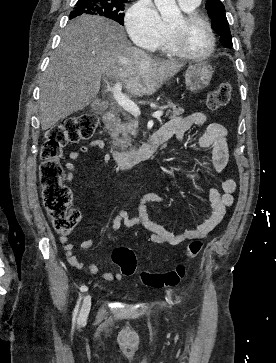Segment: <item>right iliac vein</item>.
<instances>
[{
  "label": "right iliac vein",
  "mask_w": 276,
  "mask_h": 363,
  "mask_svg": "<svg viewBox=\"0 0 276 363\" xmlns=\"http://www.w3.org/2000/svg\"><path fill=\"white\" fill-rule=\"evenodd\" d=\"M90 307H91V296L90 294L86 295L82 306H81V310L79 313V319H84L85 317H87L89 311H90Z\"/></svg>",
  "instance_id": "1"
}]
</instances>
